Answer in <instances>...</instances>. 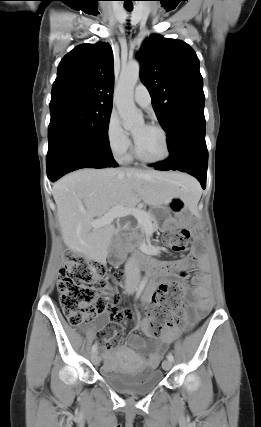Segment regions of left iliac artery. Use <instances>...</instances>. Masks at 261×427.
Here are the masks:
<instances>
[{"instance_id": "obj_1", "label": "left iliac artery", "mask_w": 261, "mask_h": 427, "mask_svg": "<svg viewBox=\"0 0 261 427\" xmlns=\"http://www.w3.org/2000/svg\"><path fill=\"white\" fill-rule=\"evenodd\" d=\"M167 359L168 360H170L171 362L174 360V357H173V355L171 354V353H169L168 355H167Z\"/></svg>"}]
</instances>
